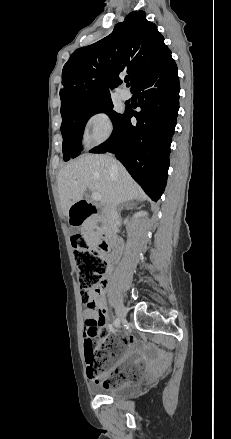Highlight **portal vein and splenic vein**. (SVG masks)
Wrapping results in <instances>:
<instances>
[{
	"label": "portal vein and splenic vein",
	"instance_id": "obj_1",
	"mask_svg": "<svg viewBox=\"0 0 231 439\" xmlns=\"http://www.w3.org/2000/svg\"><path fill=\"white\" fill-rule=\"evenodd\" d=\"M101 195L98 193V192H94L93 194H92V199L93 200H95V201H100L101 200Z\"/></svg>",
	"mask_w": 231,
	"mask_h": 439
}]
</instances>
